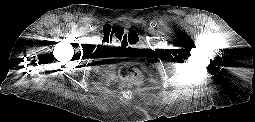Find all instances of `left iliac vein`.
<instances>
[{
  "instance_id": "left-iliac-vein-1",
  "label": "left iliac vein",
  "mask_w": 255,
  "mask_h": 122,
  "mask_svg": "<svg viewBox=\"0 0 255 122\" xmlns=\"http://www.w3.org/2000/svg\"><path fill=\"white\" fill-rule=\"evenodd\" d=\"M148 32L150 33V34H154L155 33V29H154V27H149L148 28Z\"/></svg>"
}]
</instances>
